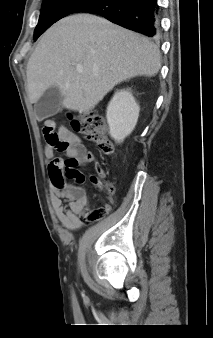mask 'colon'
<instances>
[{
    "label": "colon",
    "mask_w": 213,
    "mask_h": 338,
    "mask_svg": "<svg viewBox=\"0 0 213 338\" xmlns=\"http://www.w3.org/2000/svg\"><path fill=\"white\" fill-rule=\"evenodd\" d=\"M72 123L74 128L82 134L90 143L98 147L104 154L113 152V144L109 139L104 120L96 116L94 113L81 117H73ZM70 146L68 142H62L59 146L60 151H64ZM78 161L76 158H70L65 161L64 166L58 164L56 160H52L47 167L48 177L53 185H58L61 180L70 179L77 182L87 180L96 189L103 190L107 193L112 192V187L103 182V172L100 165L95 166V171L87 177L78 170ZM111 209L109 202H104L90 212L89 220L97 221L105 217Z\"/></svg>",
    "instance_id": "5ec220e1"
}]
</instances>
